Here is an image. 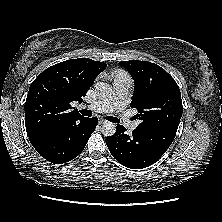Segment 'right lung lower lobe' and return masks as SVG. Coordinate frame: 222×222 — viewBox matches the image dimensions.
I'll return each instance as SVG.
<instances>
[{
    "mask_svg": "<svg viewBox=\"0 0 222 222\" xmlns=\"http://www.w3.org/2000/svg\"><path fill=\"white\" fill-rule=\"evenodd\" d=\"M98 120L83 117L76 121L55 125L29 138L35 150L47 161L60 164L77 157L84 149Z\"/></svg>",
    "mask_w": 222,
    "mask_h": 222,
    "instance_id": "right-lung-lower-lobe-1",
    "label": "right lung lower lobe"
}]
</instances>
